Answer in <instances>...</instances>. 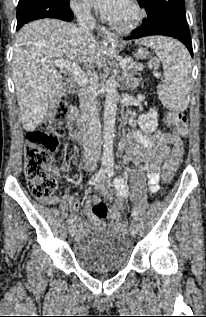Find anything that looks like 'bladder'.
<instances>
[{
    "mask_svg": "<svg viewBox=\"0 0 206 317\" xmlns=\"http://www.w3.org/2000/svg\"><path fill=\"white\" fill-rule=\"evenodd\" d=\"M131 241L121 233L87 234L74 244L73 254L78 264L89 271L117 270L130 260Z\"/></svg>",
    "mask_w": 206,
    "mask_h": 317,
    "instance_id": "31cf9c89",
    "label": "bladder"
}]
</instances>
